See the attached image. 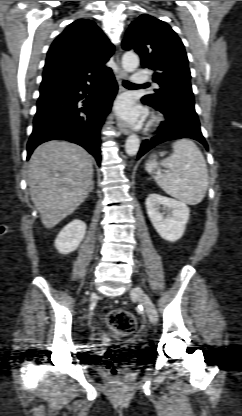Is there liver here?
Instances as JSON below:
<instances>
[{
    "label": "liver",
    "mask_w": 242,
    "mask_h": 416,
    "mask_svg": "<svg viewBox=\"0 0 242 416\" xmlns=\"http://www.w3.org/2000/svg\"><path fill=\"white\" fill-rule=\"evenodd\" d=\"M92 156L81 146L52 140L38 146L28 165L31 200L46 228L73 213L93 189Z\"/></svg>",
    "instance_id": "liver-1"
}]
</instances>
